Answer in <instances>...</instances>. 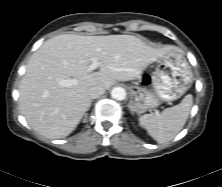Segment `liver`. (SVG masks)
Here are the masks:
<instances>
[{
  "mask_svg": "<svg viewBox=\"0 0 222 187\" xmlns=\"http://www.w3.org/2000/svg\"><path fill=\"white\" fill-rule=\"evenodd\" d=\"M173 46H151L133 35L62 34L31 56L19 85V109L29 126L50 139L67 137L91 105L89 88L139 77ZM93 60L99 71H88ZM75 79L70 87L60 80Z\"/></svg>",
  "mask_w": 222,
  "mask_h": 187,
  "instance_id": "1",
  "label": "liver"
}]
</instances>
